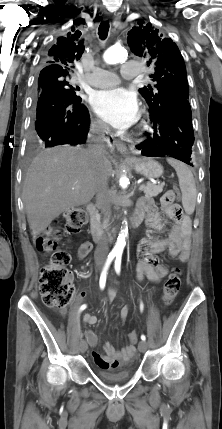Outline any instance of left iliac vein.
I'll use <instances>...</instances> for the list:
<instances>
[{
    "mask_svg": "<svg viewBox=\"0 0 222 429\" xmlns=\"http://www.w3.org/2000/svg\"><path fill=\"white\" fill-rule=\"evenodd\" d=\"M147 347H148V345H147L146 341L142 340L138 344V349H139L140 352H145L147 350Z\"/></svg>",
    "mask_w": 222,
    "mask_h": 429,
    "instance_id": "4c4485c4",
    "label": "left iliac vein"
}]
</instances>
